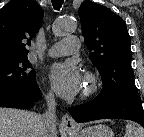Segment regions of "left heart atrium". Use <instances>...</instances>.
I'll list each match as a JSON object with an SVG mask.
<instances>
[{
    "instance_id": "obj_1",
    "label": "left heart atrium",
    "mask_w": 144,
    "mask_h": 137,
    "mask_svg": "<svg viewBox=\"0 0 144 137\" xmlns=\"http://www.w3.org/2000/svg\"><path fill=\"white\" fill-rule=\"evenodd\" d=\"M50 80L55 92L65 99L74 98L83 85L81 73L73 62L53 65L50 70Z\"/></svg>"
}]
</instances>
